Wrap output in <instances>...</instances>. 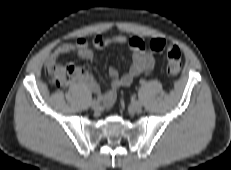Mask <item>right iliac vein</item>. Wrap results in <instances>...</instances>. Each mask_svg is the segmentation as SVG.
<instances>
[{
	"label": "right iliac vein",
	"mask_w": 231,
	"mask_h": 170,
	"mask_svg": "<svg viewBox=\"0 0 231 170\" xmlns=\"http://www.w3.org/2000/svg\"><path fill=\"white\" fill-rule=\"evenodd\" d=\"M91 108L93 109V110H98L99 108H100V106H101V103H100V101L99 100H93L92 102H91Z\"/></svg>",
	"instance_id": "1"
}]
</instances>
